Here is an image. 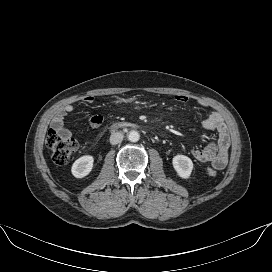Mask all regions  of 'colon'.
<instances>
[{
    "label": "colon",
    "mask_w": 272,
    "mask_h": 272,
    "mask_svg": "<svg viewBox=\"0 0 272 272\" xmlns=\"http://www.w3.org/2000/svg\"><path fill=\"white\" fill-rule=\"evenodd\" d=\"M46 144L52 152V159L57 165H64L69 162L77 149L76 141L71 137H66L50 129L46 138ZM207 174L211 177L216 176L214 168H207Z\"/></svg>",
    "instance_id": "colon-1"
}]
</instances>
